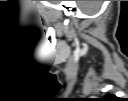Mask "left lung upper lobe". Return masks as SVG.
Segmentation results:
<instances>
[{
    "mask_svg": "<svg viewBox=\"0 0 128 101\" xmlns=\"http://www.w3.org/2000/svg\"><path fill=\"white\" fill-rule=\"evenodd\" d=\"M110 97H114V96L113 95H106V99H108Z\"/></svg>",
    "mask_w": 128,
    "mask_h": 101,
    "instance_id": "left-lung-upper-lobe-1",
    "label": "left lung upper lobe"
}]
</instances>
